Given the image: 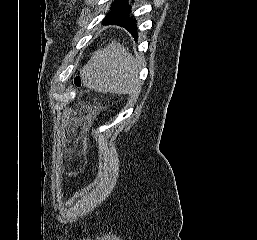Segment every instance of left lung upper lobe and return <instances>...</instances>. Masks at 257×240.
I'll list each match as a JSON object with an SVG mask.
<instances>
[{"mask_svg": "<svg viewBox=\"0 0 257 240\" xmlns=\"http://www.w3.org/2000/svg\"><path fill=\"white\" fill-rule=\"evenodd\" d=\"M121 0H115L113 3H112V5H111V7H113V6H115L117 3H119Z\"/></svg>", "mask_w": 257, "mask_h": 240, "instance_id": "obj_1", "label": "left lung upper lobe"}]
</instances>
